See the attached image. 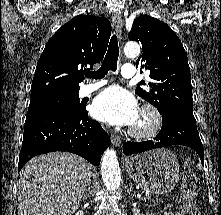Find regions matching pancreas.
<instances>
[{
	"label": "pancreas",
	"instance_id": "obj_1",
	"mask_svg": "<svg viewBox=\"0 0 221 215\" xmlns=\"http://www.w3.org/2000/svg\"><path fill=\"white\" fill-rule=\"evenodd\" d=\"M146 200H150L149 197H146L144 199L145 202H146ZM159 203H160V201H158V200H151L150 201V206H157Z\"/></svg>",
	"mask_w": 221,
	"mask_h": 215
}]
</instances>
